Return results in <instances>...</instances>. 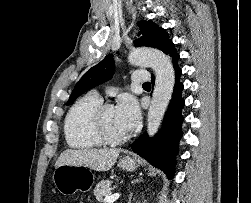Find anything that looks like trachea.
I'll use <instances>...</instances> for the list:
<instances>
[{"mask_svg": "<svg viewBox=\"0 0 251 203\" xmlns=\"http://www.w3.org/2000/svg\"><path fill=\"white\" fill-rule=\"evenodd\" d=\"M150 85H151L150 82H146L143 84V86H150Z\"/></svg>", "mask_w": 251, "mask_h": 203, "instance_id": "3493384b", "label": "trachea"}]
</instances>
